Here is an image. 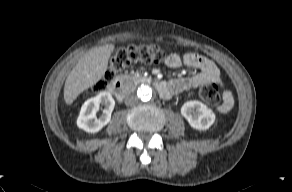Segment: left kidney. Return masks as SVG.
<instances>
[{
    "mask_svg": "<svg viewBox=\"0 0 292 192\" xmlns=\"http://www.w3.org/2000/svg\"><path fill=\"white\" fill-rule=\"evenodd\" d=\"M181 114L192 128L199 131L209 129L215 121L214 112L196 100L185 102L181 107Z\"/></svg>",
    "mask_w": 292,
    "mask_h": 192,
    "instance_id": "left-kidney-1",
    "label": "left kidney"
}]
</instances>
